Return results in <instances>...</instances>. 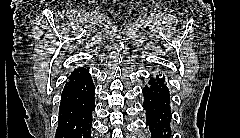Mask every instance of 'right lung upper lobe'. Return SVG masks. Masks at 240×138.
<instances>
[{
  "label": "right lung upper lobe",
  "mask_w": 240,
  "mask_h": 138,
  "mask_svg": "<svg viewBox=\"0 0 240 138\" xmlns=\"http://www.w3.org/2000/svg\"><path fill=\"white\" fill-rule=\"evenodd\" d=\"M86 74H88V71L85 68L79 67L78 69H74V71L69 76V81L78 79Z\"/></svg>",
  "instance_id": "obj_1"
}]
</instances>
